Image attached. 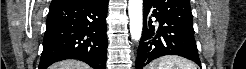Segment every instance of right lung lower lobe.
Here are the masks:
<instances>
[{"mask_svg": "<svg viewBox=\"0 0 246 69\" xmlns=\"http://www.w3.org/2000/svg\"><path fill=\"white\" fill-rule=\"evenodd\" d=\"M108 0L50 5L39 69L78 59L106 69Z\"/></svg>", "mask_w": 246, "mask_h": 69, "instance_id": "98d812e1", "label": "right lung lower lobe"}]
</instances>
